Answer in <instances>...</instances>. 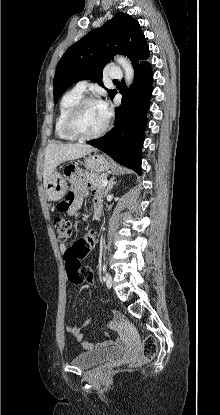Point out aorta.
I'll return each mask as SVG.
<instances>
[{
	"label": "aorta",
	"instance_id": "1",
	"mask_svg": "<svg viewBox=\"0 0 220 415\" xmlns=\"http://www.w3.org/2000/svg\"><path fill=\"white\" fill-rule=\"evenodd\" d=\"M115 61L124 70L125 82H126V85L129 87L132 84L133 79H134V69L132 67L131 62L123 56H116Z\"/></svg>",
	"mask_w": 220,
	"mask_h": 415
}]
</instances>
